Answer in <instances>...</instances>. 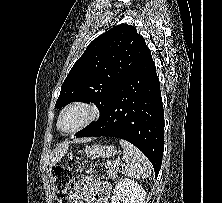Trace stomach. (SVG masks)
I'll list each match as a JSON object with an SVG mask.
<instances>
[{"instance_id": "0dacf381", "label": "stomach", "mask_w": 222, "mask_h": 203, "mask_svg": "<svg viewBox=\"0 0 222 203\" xmlns=\"http://www.w3.org/2000/svg\"><path fill=\"white\" fill-rule=\"evenodd\" d=\"M117 153V149L114 146H106L95 144L86 146L83 155L86 158H109Z\"/></svg>"}]
</instances>
